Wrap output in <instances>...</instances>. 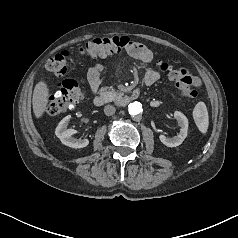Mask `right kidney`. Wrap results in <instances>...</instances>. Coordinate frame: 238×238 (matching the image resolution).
Segmentation results:
<instances>
[{
    "instance_id": "right-kidney-1",
    "label": "right kidney",
    "mask_w": 238,
    "mask_h": 238,
    "mask_svg": "<svg viewBox=\"0 0 238 238\" xmlns=\"http://www.w3.org/2000/svg\"><path fill=\"white\" fill-rule=\"evenodd\" d=\"M70 119L71 115H68L59 122L55 130L56 136L64 145L71 148L77 149L86 147L89 144L88 139L74 138L72 135L76 133V130L67 128Z\"/></svg>"
}]
</instances>
